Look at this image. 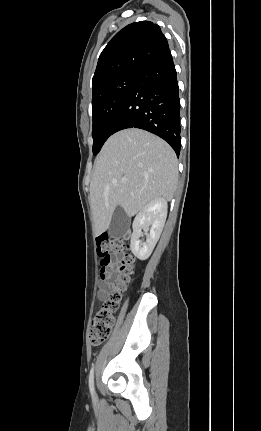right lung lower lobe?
<instances>
[{
  "label": "right lung lower lobe",
  "mask_w": 261,
  "mask_h": 431,
  "mask_svg": "<svg viewBox=\"0 0 261 431\" xmlns=\"http://www.w3.org/2000/svg\"><path fill=\"white\" fill-rule=\"evenodd\" d=\"M170 49L145 65L136 77L112 127V134L140 128L168 142L180 154V99Z\"/></svg>",
  "instance_id": "98d812e1"
}]
</instances>
